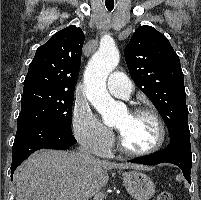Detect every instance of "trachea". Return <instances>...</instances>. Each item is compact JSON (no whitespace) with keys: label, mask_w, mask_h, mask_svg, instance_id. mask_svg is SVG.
I'll use <instances>...</instances> for the list:
<instances>
[{"label":"trachea","mask_w":201,"mask_h":200,"mask_svg":"<svg viewBox=\"0 0 201 200\" xmlns=\"http://www.w3.org/2000/svg\"><path fill=\"white\" fill-rule=\"evenodd\" d=\"M106 8H107L108 11L111 12L113 10L114 6H108V5H106Z\"/></svg>","instance_id":"trachea-1"}]
</instances>
